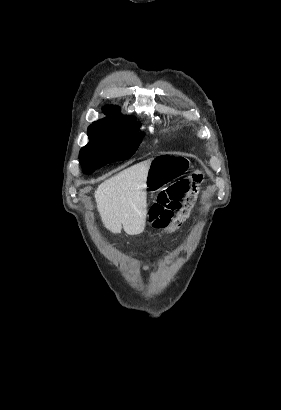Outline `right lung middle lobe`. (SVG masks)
<instances>
[{
  "mask_svg": "<svg viewBox=\"0 0 281 410\" xmlns=\"http://www.w3.org/2000/svg\"><path fill=\"white\" fill-rule=\"evenodd\" d=\"M139 123H110L96 121L89 126L90 142L80 151L84 173L90 174L108 163L125 160L137 150L141 141Z\"/></svg>",
  "mask_w": 281,
  "mask_h": 410,
  "instance_id": "dd1d6c3e",
  "label": "right lung middle lobe"
}]
</instances>
